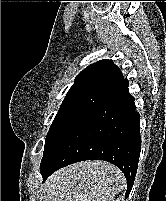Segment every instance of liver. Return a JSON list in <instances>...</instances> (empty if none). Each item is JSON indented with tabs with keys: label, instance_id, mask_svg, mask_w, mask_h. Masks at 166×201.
<instances>
[{
	"label": "liver",
	"instance_id": "1",
	"mask_svg": "<svg viewBox=\"0 0 166 201\" xmlns=\"http://www.w3.org/2000/svg\"><path fill=\"white\" fill-rule=\"evenodd\" d=\"M121 170L111 163L84 161L59 169L45 182L44 201H111L125 187Z\"/></svg>",
	"mask_w": 166,
	"mask_h": 201
}]
</instances>
